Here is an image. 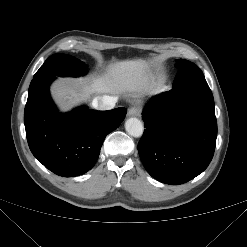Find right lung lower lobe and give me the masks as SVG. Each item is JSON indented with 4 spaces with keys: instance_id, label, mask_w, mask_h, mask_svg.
<instances>
[{
    "instance_id": "1",
    "label": "right lung lower lobe",
    "mask_w": 247,
    "mask_h": 247,
    "mask_svg": "<svg viewBox=\"0 0 247 247\" xmlns=\"http://www.w3.org/2000/svg\"><path fill=\"white\" fill-rule=\"evenodd\" d=\"M54 79L46 75L31 81L24 112L26 137L33 155L50 171L78 176L95 165L105 137L120 126L127 110L80 107L60 113L49 94Z\"/></svg>"
}]
</instances>
